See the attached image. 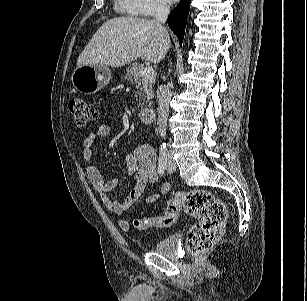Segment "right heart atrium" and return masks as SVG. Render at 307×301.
<instances>
[{
	"instance_id": "d8ad5b80",
	"label": "right heart atrium",
	"mask_w": 307,
	"mask_h": 301,
	"mask_svg": "<svg viewBox=\"0 0 307 301\" xmlns=\"http://www.w3.org/2000/svg\"><path fill=\"white\" fill-rule=\"evenodd\" d=\"M166 2V0H130V6L137 15L154 17L168 11Z\"/></svg>"
}]
</instances>
